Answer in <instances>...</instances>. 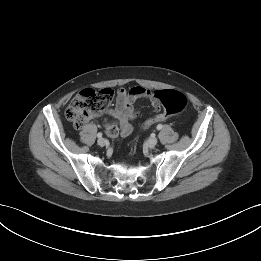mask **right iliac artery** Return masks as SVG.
<instances>
[{"instance_id":"obj_1","label":"right iliac artery","mask_w":261,"mask_h":261,"mask_svg":"<svg viewBox=\"0 0 261 261\" xmlns=\"http://www.w3.org/2000/svg\"><path fill=\"white\" fill-rule=\"evenodd\" d=\"M97 137H98V138H101V137H102V133L99 132V133L97 134Z\"/></svg>"}]
</instances>
